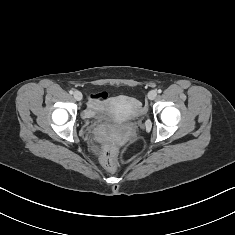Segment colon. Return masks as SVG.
<instances>
[{"instance_id": "obj_1", "label": "colon", "mask_w": 235, "mask_h": 235, "mask_svg": "<svg viewBox=\"0 0 235 235\" xmlns=\"http://www.w3.org/2000/svg\"><path fill=\"white\" fill-rule=\"evenodd\" d=\"M105 164L111 168V169H115L118 167L119 165V161L118 159L113 155V153L107 151L105 154Z\"/></svg>"}]
</instances>
